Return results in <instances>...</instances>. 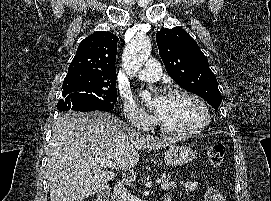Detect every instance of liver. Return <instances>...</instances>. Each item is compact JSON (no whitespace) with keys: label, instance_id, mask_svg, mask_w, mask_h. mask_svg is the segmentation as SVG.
Returning a JSON list of instances; mask_svg holds the SVG:
<instances>
[{"label":"liver","instance_id":"liver-1","mask_svg":"<svg viewBox=\"0 0 271 201\" xmlns=\"http://www.w3.org/2000/svg\"><path fill=\"white\" fill-rule=\"evenodd\" d=\"M176 141L141 134L107 112L62 113L46 150L50 201H82L103 190L115 173L103 170L96 158L114 160L118 169L128 170L138 163L140 150Z\"/></svg>","mask_w":271,"mask_h":201}]
</instances>
